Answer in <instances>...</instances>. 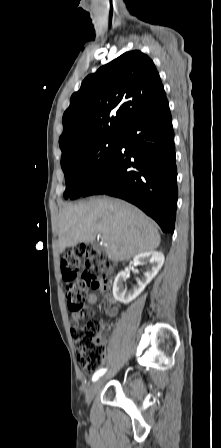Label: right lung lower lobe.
Here are the masks:
<instances>
[{
	"mask_svg": "<svg viewBox=\"0 0 221 448\" xmlns=\"http://www.w3.org/2000/svg\"><path fill=\"white\" fill-rule=\"evenodd\" d=\"M174 133L167 98L131 119L111 158L83 197L108 194L127 200L174 232L177 207Z\"/></svg>",
	"mask_w": 221,
	"mask_h": 448,
	"instance_id": "right-lung-lower-lobe-1",
	"label": "right lung lower lobe"
}]
</instances>
